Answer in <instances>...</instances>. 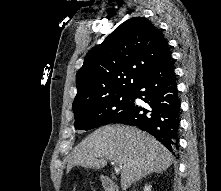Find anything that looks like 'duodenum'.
Returning <instances> with one entry per match:
<instances>
[{"label":"duodenum","instance_id":"duodenum-1","mask_svg":"<svg viewBox=\"0 0 221 191\" xmlns=\"http://www.w3.org/2000/svg\"><path fill=\"white\" fill-rule=\"evenodd\" d=\"M100 182L105 191H119L118 186L109 176H101Z\"/></svg>","mask_w":221,"mask_h":191}]
</instances>
